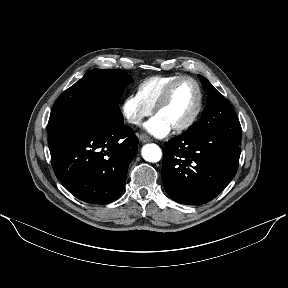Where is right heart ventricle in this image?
I'll use <instances>...</instances> for the list:
<instances>
[{
    "mask_svg": "<svg viewBox=\"0 0 288 288\" xmlns=\"http://www.w3.org/2000/svg\"><path fill=\"white\" fill-rule=\"evenodd\" d=\"M177 75H155L142 80L136 88V96L145 105L153 108L160 95Z\"/></svg>",
    "mask_w": 288,
    "mask_h": 288,
    "instance_id": "right-heart-ventricle-1",
    "label": "right heart ventricle"
}]
</instances>
